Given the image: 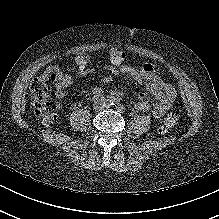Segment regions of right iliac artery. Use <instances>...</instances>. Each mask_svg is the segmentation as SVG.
Segmentation results:
<instances>
[{"instance_id": "right-iliac-artery-1", "label": "right iliac artery", "mask_w": 219, "mask_h": 219, "mask_svg": "<svg viewBox=\"0 0 219 219\" xmlns=\"http://www.w3.org/2000/svg\"><path fill=\"white\" fill-rule=\"evenodd\" d=\"M115 98L114 97H112V96H108L107 98H106V102L108 103V104H110V105H115Z\"/></svg>"}]
</instances>
